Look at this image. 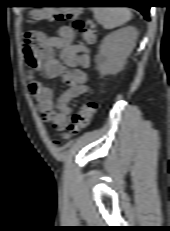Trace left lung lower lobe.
Here are the masks:
<instances>
[{
	"mask_svg": "<svg viewBox=\"0 0 170 231\" xmlns=\"http://www.w3.org/2000/svg\"><path fill=\"white\" fill-rule=\"evenodd\" d=\"M128 3L134 4V6H130V7H133L137 9L138 11H140L145 17V19L149 20L150 7L146 4L147 3L146 0H131Z\"/></svg>",
	"mask_w": 170,
	"mask_h": 231,
	"instance_id": "obj_1",
	"label": "left lung lower lobe"
}]
</instances>
